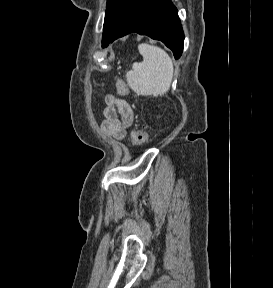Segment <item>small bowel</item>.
I'll use <instances>...</instances> for the list:
<instances>
[{"mask_svg":"<svg viewBox=\"0 0 273 288\" xmlns=\"http://www.w3.org/2000/svg\"><path fill=\"white\" fill-rule=\"evenodd\" d=\"M104 101L101 129L106 135L122 140L133 123L132 107L126 100L113 94L106 95Z\"/></svg>","mask_w":273,"mask_h":288,"instance_id":"c3829d8e","label":"small bowel"}]
</instances>
